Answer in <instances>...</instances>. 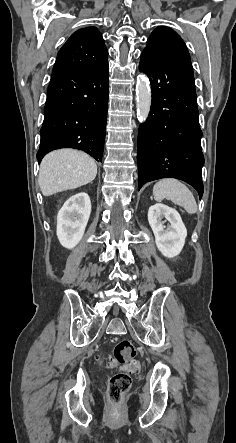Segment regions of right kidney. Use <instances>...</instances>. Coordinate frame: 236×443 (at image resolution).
I'll return each instance as SVG.
<instances>
[{
	"label": "right kidney",
	"instance_id": "right-kidney-1",
	"mask_svg": "<svg viewBox=\"0 0 236 443\" xmlns=\"http://www.w3.org/2000/svg\"><path fill=\"white\" fill-rule=\"evenodd\" d=\"M91 213V202L87 193L71 196L57 215V237L60 244L74 248L82 239Z\"/></svg>",
	"mask_w": 236,
	"mask_h": 443
}]
</instances>
